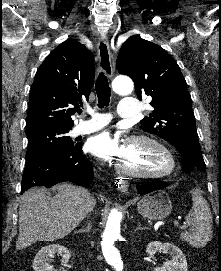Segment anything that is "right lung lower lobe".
<instances>
[{
	"instance_id": "98d812e1",
	"label": "right lung lower lobe",
	"mask_w": 221,
	"mask_h": 271,
	"mask_svg": "<svg viewBox=\"0 0 221 271\" xmlns=\"http://www.w3.org/2000/svg\"><path fill=\"white\" fill-rule=\"evenodd\" d=\"M81 148V144H78L69 151L47 152L27 159L21 194L32 187L50 188L61 181L89 185L93 180V169Z\"/></svg>"
}]
</instances>
